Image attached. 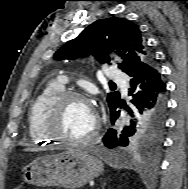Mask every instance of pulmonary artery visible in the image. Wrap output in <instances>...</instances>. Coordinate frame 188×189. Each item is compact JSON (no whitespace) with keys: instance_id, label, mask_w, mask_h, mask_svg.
<instances>
[{"instance_id":"1","label":"pulmonary artery","mask_w":188,"mask_h":189,"mask_svg":"<svg viewBox=\"0 0 188 189\" xmlns=\"http://www.w3.org/2000/svg\"><path fill=\"white\" fill-rule=\"evenodd\" d=\"M107 76L110 80L112 81H115V82H120L122 84V88H123V91L126 92L127 90V85L126 83L124 82L126 77L124 75L123 72H121L120 70H117L116 68L114 67H110L108 72H107ZM62 82H65L66 80L65 79H62L61 80Z\"/></svg>"}]
</instances>
